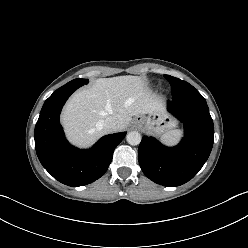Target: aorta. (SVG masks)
<instances>
[{
    "instance_id": "aorta-1",
    "label": "aorta",
    "mask_w": 248,
    "mask_h": 248,
    "mask_svg": "<svg viewBox=\"0 0 248 248\" xmlns=\"http://www.w3.org/2000/svg\"><path fill=\"white\" fill-rule=\"evenodd\" d=\"M141 134L137 131H131L127 134L126 140L130 145H138L141 142Z\"/></svg>"
}]
</instances>
